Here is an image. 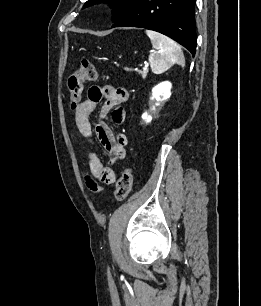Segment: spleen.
<instances>
[{
  "label": "spleen",
  "instance_id": "3e777b00",
  "mask_svg": "<svg viewBox=\"0 0 261 306\" xmlns=\"http://www.w3.org/2000/svg\"><path fill=\"white\" fill-rule=\"evenodd\" d=\"M145 33L152 43L149 62L153 73L161 74L174 64L185 66L184 54L175 41L156 31L146 30Z\"/></svg>",
  "mask_w": 261,
  "mask_h": 306
}]
</instances>
